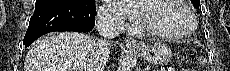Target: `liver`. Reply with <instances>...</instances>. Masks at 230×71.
<instances>
[{"mask_svg": "<svg viewBox=\"0 0 230 71\" xmlns=\"http://www.w3.org/2000/svg\"><path fill=\"white\" fill-rule=\"evenodd\" d=\"M91 42L90 36L76 32L47 34L28 51L24 71H85Z\"/></svg>", "mask_w": 230, "mask_h": 71, "instance_id": "obj_1", "label": "liver"}]
</instances>
